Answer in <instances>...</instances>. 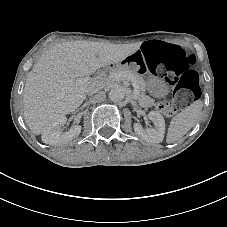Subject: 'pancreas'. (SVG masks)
<instances>
[{
    "label": "pancreas",
    "instance_id": "cf45deb5",
    "mask_svg": "<svg viewBox=\"0 0 227 227\" xmlns=\"http://www.w3.org/2000/svg\"><path fill=\"white\" fill-rule=\"evenodd\" d=\"M119 72H127V73H130L132 74L134 77H135V80L139 86V94L137 96V99L140 103V105L142 107H149L151 106L153 103H154V99H152L151 97L147 96L145 94V91H146V82L145 80L143 79V77L136 73V72H133L131 70H128L127 68L125 67H117V68H114L111 70V75L115 74V73H119ZM101 80L107 84V77L106 76H102L101 77Z\"/></svg>",
    "mask_w": 227,
    "mask_h": 227
}]
</instances>
